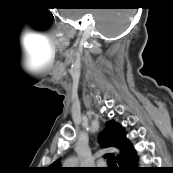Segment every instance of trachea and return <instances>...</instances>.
<instances>
[{
    "instance_id": "trachea-1",
    "label": "trachea",
    "mask_w": 173,
    "mask_h": 173,
    "mask_svg": "<svg viewBox=\"0 0 173 173\" xmlns=\"http://www.w3.org/2000/svg\"><path fill=\"white\" fill-rule=\"evenodd\" d=\"M108 169H114L117 167L116 163H115V160H114V156H111L109 159H108Z\"/></svg>"
}]
</instances>
